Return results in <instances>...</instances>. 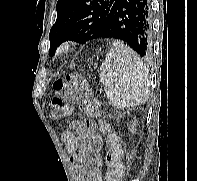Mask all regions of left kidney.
<instances>
[{
    "mask_svg": "<svg viewBox=\"0 0 197 181\" xmlns=\"http://www.w3.org/2000/svg\"><path fill=\"white\" fill-rule=\"evenodd\" d=\"M136 120L133 122V125H132V127L130 128V131L132 132V133H134V131L136 130L135 129V126H136Z\"/></svg>",
    "mask_w": 197,
    "mask_h": 181,
    "instance_id": "obj_1",
    "label": "left kidney"
}]
</instances>
